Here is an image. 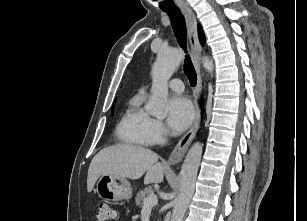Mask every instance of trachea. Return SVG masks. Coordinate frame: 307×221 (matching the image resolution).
I'll use <instances>...</instances> for the list:
<instances>
[{
    "mask_svg": "<svg viewBox=\"0 0 307 221\" xmlns=\"http://www.w3.org/2000/svg\"><path fill=\"white\" fill-rule=\"evenodd\" d=\"M163 11L169 15L177 42L179 43L180 47L187 53V31L184 16L182 15L179 8ZM184 71L187 75L190 85L192 87L196 86L197 75L191 62V59L188 55H186L185 58Z\"/></svg>",
    "mask_w": 307,
    "mask_h": 221,
    "instance_id": "1",
    "label": "trachea"
}]
</instances>
